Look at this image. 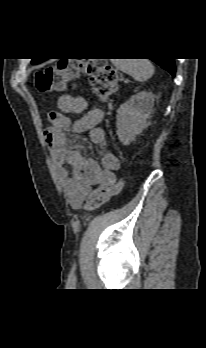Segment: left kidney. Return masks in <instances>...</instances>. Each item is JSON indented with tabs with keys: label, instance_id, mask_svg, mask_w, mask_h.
<instances>
[{
	"label": "left kidney",
	"instance_id": "obj_1",
	"mask_svg": "<svg viewBox=\"0 0 206 348\" xmlns=\"http://www.w3.org/2000/svg\"><path fill=\"white\" fill-rule=\"evenodd\" d=\"M154 94L141 91L132 95L117 110V135L123 145L133 142L147 125L154 106Z\"/></svg>",
	"mask_w": 206,
	"mask_h": 348
}]
</instances>
